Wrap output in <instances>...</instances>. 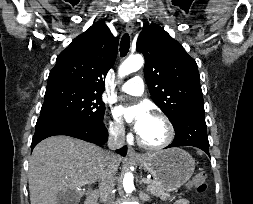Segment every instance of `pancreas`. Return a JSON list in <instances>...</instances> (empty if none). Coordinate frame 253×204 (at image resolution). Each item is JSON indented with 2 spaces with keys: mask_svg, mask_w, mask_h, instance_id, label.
<instances>
[{
  "mask_svg": "<svg viewBox=\"0 0 253 204\" xmlns=\"http://www.w3.org/2000/svg\"><path fill=\"white\" fill-rule=\"evenodd\" d=\"M147 191L155 196H160L165 200L173 199V197L170 196L169 191L154 180H150V183L147 184Z\"/></svg>",
  "mask_w": 253,
  "mask_h": 204,
  "instance_id": "cf45deb5",
  "label": "pancreas"
}]
</instances>
